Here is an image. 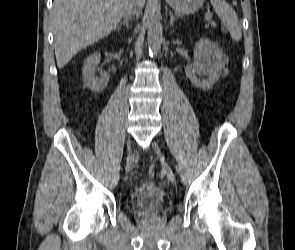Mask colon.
<instances>
[{
    "mask_svg": "<svg viewBox=\"0 0 295 250\" xmlns=\"http://www.w3.org/2000/svg\"><path fill=\"white\" fill-rule=\"evenodd\" d=\"M148 174H149V176H154V174H155V166L154 165H151L150 167H149V169H148Z\"/></svg>",
    "mask_w": 295,
    "mask_h": 250,
    "instance_id": "5ec220e1",
    "label": "colon"
}]
</instances>
